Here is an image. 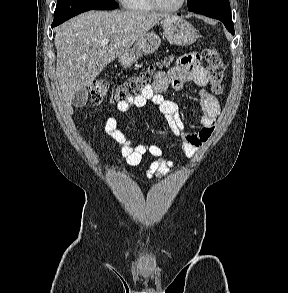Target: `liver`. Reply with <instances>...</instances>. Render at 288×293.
<instances>
[{"label": "liver", "mask_w": 288, "mask_h": 293, "mask_svg": "<svg viewBox=\"0 0 288 293\" xmlns=\"http://www.w3.org/2000/svg\"><path fill=\"white\" fill-rule=\"evenodd\" d=\"M168 15L138 11H88L56 28V74L67 112L75 93L93 83L114 59ZM103 39L110 43L101 45Z\"/></svg>", "instance_id": "obj_1"}]
</instances>
